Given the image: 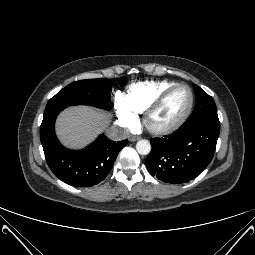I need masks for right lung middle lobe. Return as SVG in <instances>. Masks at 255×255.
Masks as SVG:
<instances>
[{
  "label": "right lung middle lobe",
  "instance_id": "1",
  "mask_svg": "<svg viewBox=\"0 0 255 255\" xmlns=\"http://www.w3.org/2000/svg\"><path fill=\"white\" fill-rule=\"evenodd\" d=\"M111 84L112 82L105 78L73 82L52 97L47 103L46 109L65 108L80 104L108 109Z\"/></svg>",
  "mask_w": 255,
  "mask_h": 255
}]
</instances>
